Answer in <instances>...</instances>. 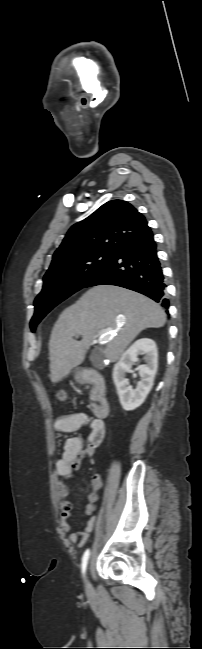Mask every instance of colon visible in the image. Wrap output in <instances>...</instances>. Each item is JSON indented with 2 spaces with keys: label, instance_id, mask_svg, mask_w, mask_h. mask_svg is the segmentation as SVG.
<instances>
[{
  "label": "colon",
  "instance_id": "obj_1",
  "mask_svg": "<svg viewBox=\"0 0 202 649\" xmlns=\"http://www.w3.org/2000/svg\"><path fill=\"white\" fill-rule=\"evenodd\" d=\"M55 397L59 404H65L68 401L69 394L67 390L60 389L56 392Z\"/></svg>",
  "mask_w": 202,
  "mask_h": 649
}]
</instances>
